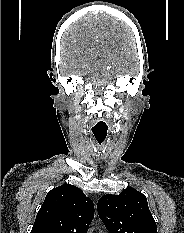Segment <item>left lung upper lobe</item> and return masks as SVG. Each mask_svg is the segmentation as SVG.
<instances>
[{
    "mask_svg": "<svg viewBox=\"0 0 184 233\" xmlns=\"http://www.w3.org/2000/svg\"><path fill=\"white\" fill-rule=\"evenodd\" d=\"M97 209L109 233H157L146 196L134 188L102 196Z\"/></svg>",
    "mask_w": 184,
    "mask_h": 233,
    "instance_id": "obj_1",
    "label": "left lung upper lobe"
}]
</instances>
